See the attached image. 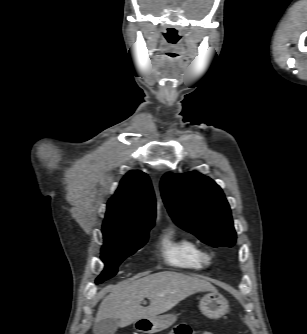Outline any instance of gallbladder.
Masks as SVG:
<instances>
[{
    "mask_svg": "<svg viewBox=\"0 0 307 334\" xmlns=\"http://www.w3.org/2000/svg\"><path fill=\"white\" fill-rule=\"evenodd\" d=\"M118 328V319H103L95 323L93 331L94 334H115Z\"/></svg>",
    "mask_w": 307,
    "mask_h": 334,
    "instance_id": "obj_1",
    "label": "gallbladder"
}]
</instances>
